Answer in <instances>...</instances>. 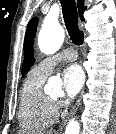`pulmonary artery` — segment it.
Returning <instances> with one entry per match:
<instances>
[{
  "instance_id": "e3ab8cb5",
  "label": "pulmonary artery",
  "mask_w": 116,
  "mask_h": 134,
  "mask_svg": "<svg viewBox=\"0 0 116 134\" xmlns=\"http://www.w3.org/2000/svg\"><path fill=\"white\" fill-rule=\"evenodd\" d=\"M77 59V53L74 49L68 48L60 51L58 54L49 56L39 61L35 66L41 73L49 75L54 66L60 61L71 62Z\"/></svg>"
}]
</instances>
